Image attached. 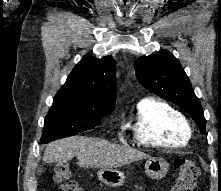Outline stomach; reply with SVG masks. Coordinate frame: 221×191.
I'll use <instances>...</instances> for the list:
<instances>
[{
    "instance_id": "0dacf381",
    "label": "stomach",
    "mask_w": 221,
    "mask_h": 191,
    "mask_svg": "<svg viewBox=\"0 0 221 191\" xmlns=\"http://www.w3.org/2000/svg\"><path fill=\"white\" fill-rule=\"evenodd\" d=\"M168 163L162 158H149L145 163V173L151 179H161L168 172ZM98 179L111 187H119L126 183L123 172L114 168H102L97 172Z\"/></svg>"
}]
</instances>
